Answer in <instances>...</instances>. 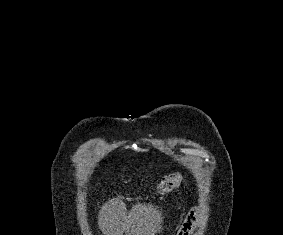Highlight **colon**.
Listing matches in <instances>:
<instances>
[{"instance_id": "1", "label": "colon", "mask_w": 283, "mask_h": 235, "mask_svg": "<svg viewBox=\"0 0 283 235\" xmlns=\"http://www.w3.org/2000/svg\"><path fill=\"white\" fill-rule=\"evenodd\" d=\"M182 180H183V176L179 172H175L165 176L157 185V189H156L157 194L163 195L172 191L181 184ZM185 224H184V229L181 230L180 235H185L188 230L187 228H185Z\"/></svg>"}]
</instances>
